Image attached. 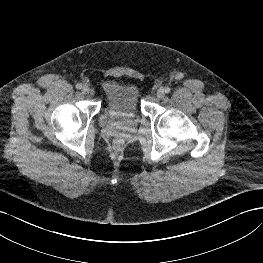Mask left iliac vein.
<instances>
[{
    "mask_svg": "<svg viewBox=\"0 0 263 263\" xmlns=\"http://www.w3.org/2000/svg\"><path fill=\"white\" fill-rule=\"evenodd\" d=\"M156 95H157L158 98H163L164 95H165V89L164 88L158 89Z\"/></svg>",
    "mask_w": 263,
    "mask_h": 263,
    "instance_id": "obj_1",
    "label": "left iliac vein"
}]
</instances>
